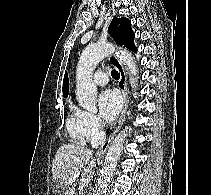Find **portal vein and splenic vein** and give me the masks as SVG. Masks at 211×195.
Segmentation results:
<instances>
[{
	"label": "portal vein and splenic vein",
	"mask_w": 211,
	"mask_h": 195,
	"mask_svg": "<svg viewBox=\"0 0 211 195\" xmlns=\"http://www.w3.org/2000/svg\"><path fill=\"white\" fill-rule=\"evenodd\" d=\"M80 176V173L79 172H75L74 174V178L71 179V182H73L75 180V178L79 177Z\"/></svg>",
	"instance_id": "1"
}]
</instances>
